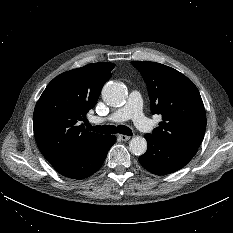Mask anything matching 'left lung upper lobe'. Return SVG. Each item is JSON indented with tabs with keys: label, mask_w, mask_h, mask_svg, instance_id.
<instances>
[{
	"label": "left lung upper lobe",
	"mask_w": 233,
	"mask_h": 233,
	"mask_svg": "<svg viewBox=\"0 0 233 233\" xmlns=\"http://www.w3.org/2000/svg\"><path fill=\"white\" fill-rule=\"evenodd\" d=\"M145 80L153 114L162 122L150 134L169 144L199 147L206 129V112L197 87L186 76L155 62H131Z\"/></svg>",
	"instance_id": "5c2ea615"
}]
</instances>
